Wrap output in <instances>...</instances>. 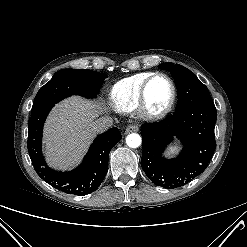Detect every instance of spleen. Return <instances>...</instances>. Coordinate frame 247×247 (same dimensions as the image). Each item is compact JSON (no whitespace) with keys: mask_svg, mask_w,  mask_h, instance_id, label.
<instances>
[{"mask_svg":"<svg viewBox=\"0 0 247 247\" xmlns=\"http://www.w3.org/2000/svg\"><path fill=\"white\" fill-rule=\"evenodd\" d=\"M179 149H180L179 146H173V147H171V148L168 150L167 155H168V156H173V155H175V154L178 153Z\"/></svg>","mask_w":247,"mask_h":247,"instance_id":"3e777b00","label":"spleen"}]
</instances>
